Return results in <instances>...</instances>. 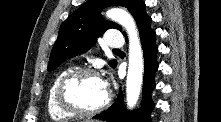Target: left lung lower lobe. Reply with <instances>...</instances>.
Segmentation results:
<instances>
[{
	"instance_id": "obj_1",
	"label": "left lung lower lobe",
	"mask_w": 221,
	"mask_h": 122,
	"mask_svg": "<svg viewBox=\"0 0 221 122\" xmlns=\"http://www.w3.org/2000/svg\"><path fill=\"white\" fill-rule=\"evenodd\" d=\"M132 15L134 16L139 28L142 49L144 54V81L143 96L141 102V112H128L123 105V93L120 90L116 101L105 112L94 116L107 122H151L150 114L154 108L151 99V92L155 87L154 75L158 70L156 54L158 47L155 43V31L151 28V17L145 12V3L138 0L135 4ZM126 36V35H125Z\"/></svg>"
}]
</instances>
